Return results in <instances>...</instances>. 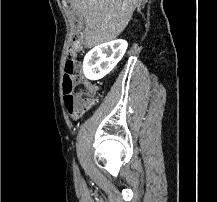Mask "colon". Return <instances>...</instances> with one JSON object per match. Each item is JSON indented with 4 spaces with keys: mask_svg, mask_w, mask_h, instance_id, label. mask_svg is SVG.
I'll use <instances>...</instances> for the list:
<instances>
[{
    "mask_svg": "<svg viewBox=\"0 0 217 202\" xmlns=\"http://www.w3.org/2000/svg\"><path fill=\"white\" fill-rule=\"evenodd\" d=\"M88 40L87 36H73V41H79V46H85V41ZM77 49H70V54H77ZM82 59H77V55H67V67H65L64 82V96L65 104L68 111H75L80 113L88 111V108L96 103L97 86L88 85V80H82L83 73L81 68H86L87 64L82 63ZM75 112H68L67 116L72 119H81V114Z\"/></svg>",
    "mask_w": 217,
    "mask_h": 202,
    "instance_id": "colon-1",
    "label": "colon"
}]
</instances>
